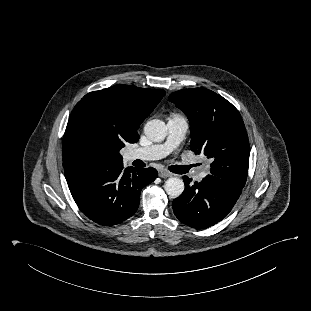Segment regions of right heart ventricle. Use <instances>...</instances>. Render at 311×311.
Here are the masks:
<instances>
[{"mask_svg":"<svg viewBox=\"0 0 311 311\" xmlns=\"http://www.w3.org/2000/svg\"><path fill=\"white\" fill-rule=\"evenodd\" d=\"M176 116H178V115H173L172 117H176Z\"/></svg>","mask_w":311,"mask_h":311,"instance_id":"e07e8e85","label":"right heart ventricle"}]
</instances>
